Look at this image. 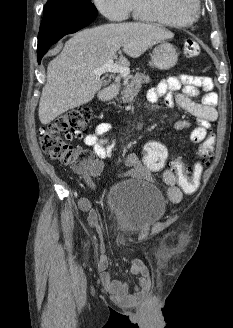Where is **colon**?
<instances>
[{"label":"colon","instance_id":"obj_1","mask_svg":"<svg viewBox=\"0 0 233 328\" xmlns=\"http://www.w3.org/2000/svg\"><path fill=\"white\" fill-rule=\"evenodd\" d=\"M184 52L188 57L199 55V44L195 41L186 42ZM91 119L92 112L89 108H77L43 126L39 141L44 153L53 160L70 165L78 172L87 170L93 163V153L73 146L70 141L80 137L88 129ZM214 142V135L209 134L199 147L197 161L192 167H186L180 159L170 163L183 192L189 194L198 189L204 168L213 161ZM166 162L167 150L161 143L151 141L144 145L143 164L146 168L156 171Z\"/></svg>","mask_w":233,"mask_h":328}]
</instances>
